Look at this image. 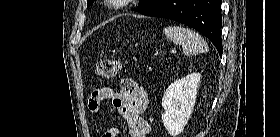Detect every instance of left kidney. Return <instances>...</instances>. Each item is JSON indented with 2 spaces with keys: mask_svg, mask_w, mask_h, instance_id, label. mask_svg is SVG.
Masks as SVG:
<instances>
[{
  "mask_svg": "<svg viewBox=\"0 0 280 137\" xmlns=\"http://www.w3.org/2000/svg\"><path fill=\"white\" fill-rule=\"evenodd\" d=\"M200 73H191L176 80L165 91L162 106V122L168 133L176 137L184 130L195 104Z\"/></svg>",
  "mask_w": 280,
  "mask_h": 137,
  "instance_id": "obj_1",
  "label": "left kidney"
}]
</instances>
